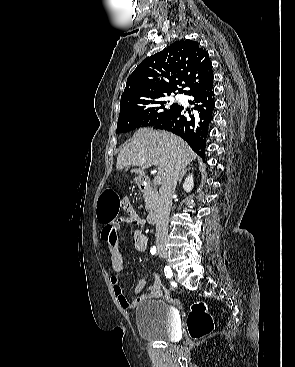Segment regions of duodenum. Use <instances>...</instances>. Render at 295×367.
Listing matches in <instances>:
<instances>
[{
	"label": "duodenum",
	"instance_id": "410a0bca",
	"mask_svg": "<svg viewBox=\"0 0 295 367\" xmlns=\"http://www.w3.org/2000/svg\"><path fill=\"white\" fill-rule=\"evenodd\" d=\"M139 186L142 190H146V191H149V190H152V185H151V182L150 180L147 178V177H140L139 178ZM160 206L159 205H156L154 206L148 216H147V221L150 223V224H154L157 222L158 218H159V215H160Z\"/></svg>",
	"mask_w": 295,
	"mask_h": 367
}]
</instances>
